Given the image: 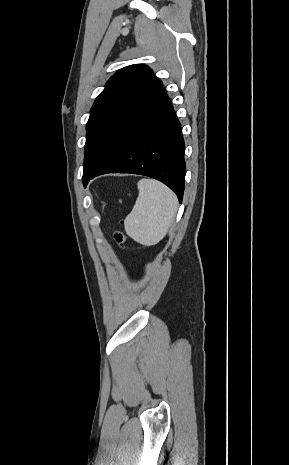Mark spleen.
<instances>
[{
  "mask_svg": "<svg viewBox=\"0 0 289 465\" xmlns=\"http://www.w3.org/2000/svg\"><path fill=\"white\" fill-rule=\"evenodd\" d=\"M137 187L139 195L125 218V231L142 245H155L165 237L174 221L177 197L167 186L153 179H141Z\"/></svg>",
  "mask_w": 289,
  "mask_h": 465,
  "instance_id": "1",
  "label": "spleen"
}]
</instances>
